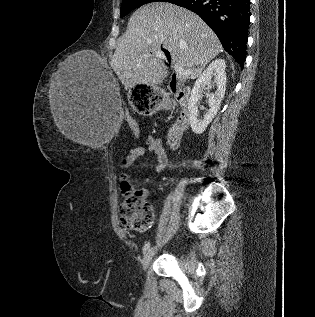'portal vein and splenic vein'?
I'll use <instances>...</instances> for the list:
<instances>
[{"label":"portal vein and splenic vein","instance_id":"portal-vein-and-splenic-vein-1","mask_svg":"<svg viewBox=\"0 0 315 317\" xmlns=\"http://www.w3.org/2000/svg\"><path fill=\"white\" fill-rule=\"evenodd\" d=\"M175 72L177 73L178 77L180 79H184L186 78L188 75L191 74V70H184L182 67L178 66V65H174L173 66Z\"/></svg>","mask_w":315,"mask_h":317}]
</instances>
